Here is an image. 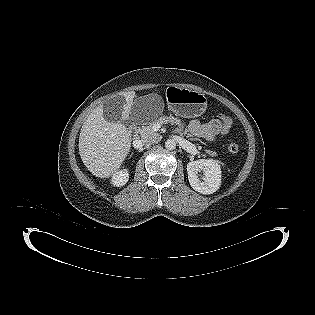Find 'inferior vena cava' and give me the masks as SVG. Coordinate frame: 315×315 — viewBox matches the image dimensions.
<instances>
[{
  "label": "inferior vena cava",
  "mask_w": 315,
  "mask_h": 315,
  "mask_svg": "<svg viewBox=\"0 0 315 315\" xmlns=\"http://www.w3.org/2000/svg\"><path fill=\"white\" fill-rule=\"evenodd\" d=\"M161 137L158 135H150V136H146L143 137L141 140V144L142 145H150V144H154V143H158L160 141Z\"/></svg>",
  "instance_id": "1"
}]
</instances>
